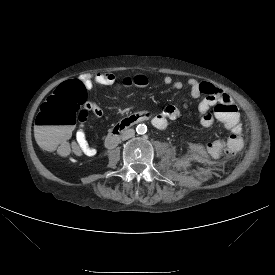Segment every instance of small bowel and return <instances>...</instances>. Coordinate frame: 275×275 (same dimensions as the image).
<instances>
[{"mask_svg":"<svg viewBox=\"0 0 275 275\" xmlns=\"http://www.w3.org/2000/svg\"><path fill=\"white\" fill-rule=\"evenodd\" d=\"M80 80L86 87L93 85H110L114 82L115 77L111 73H97L94 75H83ZM161 82L166 86H171L176 90L183 88V82L172 78L171 76H163ZM189 88V95L193 98L203 96L197 106L191 113L198 119V124L202 128L211 127L217 120L216 112H211V109L222 101L232 102L229 95L223 90L216 88L208 82H199L196 79H189L187 81ZM233 103V102H232ZM88 113H92L96 118L103 117V111L95 104H88L86 106ZM145 113L146 119L152 123L157 129H166L168 123L177 119L182 111L179 107L169 105L163 110L156 105L150 106ZM230 132V137L218 135L208 142L205 151L206 154L213 159L230 157L242 151L244 142L242 140V124L238 125L235 129H227ZM76 145L77 150L86 156H94L97 153L95 145L89 142L84 128V121L79 124L76 132Z\"/></svg>","mask_w":275,"mask_h":275,"instance_id":"c3829d8e","label":"small bowel"}]
</instances>
